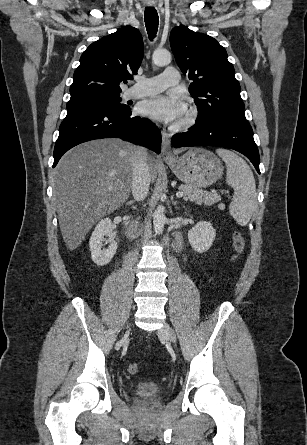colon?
<instances>
[{"label":"colon","mask_w":307,"mask_h":445,"mask_svg":"<svg viewBox=\"0 0 307 445\" xmlns=\"http://www.w3.org/2000/svg\"><path fill=\"white\" fill-rule=\"evenodd\" d=\"M232 241L234 248L233 260H238L245 249V238L240 232L236 231L233 233ZM128 372L133 375L137 374L139 372V365L137 363H130L128 365Z\"/></svg>","instance_id":"colon-1"}]
</instances>
